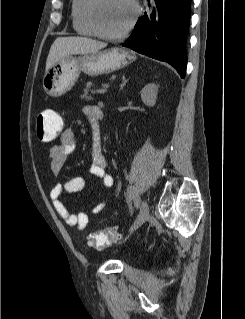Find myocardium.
Here are the masks:
<instances>
[{"mask_svg":"<svg viewBox=\"0 0 245 319\" xmlns=\"http://www.w3.org/2000/svg\"><path fill=\"white\" fill-rule=\"evenodd\" d=\"M128 1L131 3V5L133 7V16H132L130 22L120 32L109 33V32H106L102 29V27L98 21L97 12H98V8H99V4H100L101 0H89L87 7H86L87 18H88V21H89L91 27L95 31V34L98 37L108 39V40H118V39L125 37L127 34L130 33V31L134 28V26L138 20V17L140 15V6L136 0H128Z\"/></svg>","mask_w":245,"mask_h":319,"instance_id":"myocardium-1","label":"myocardium"}]
</instances>
